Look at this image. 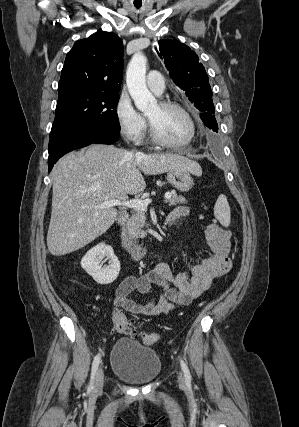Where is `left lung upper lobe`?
<instances>
[{
	"instance_id": "5c2ea615",
	"label": "left lung upper lobe",
	"mask_w": 299,
	"mask_h": 427,
	"mask_svg": "<svg viewBox=\"0 0 299 427\" xmlns=\"http://www.w3.org/2000/svg\"><path fill=\"white\" fill-rule=\"evenodd\" d=\"M159 51L171 78L185 91L188 99L198 109L204 124L218 132L212 90L208 75L198 56L178 40H160Z\"/></svg>"
}]
</instances>
